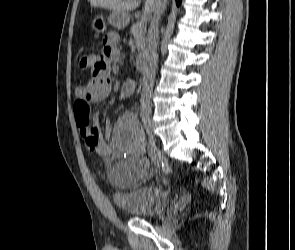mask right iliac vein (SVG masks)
<instances>
[{"mask_svg": "<svg viewBox=\"0 0 295 250\" xmlns=\"http://www.w3.org/2000/svg\"><path fill=\"white\" fill-rule=\"evenodd\" d=\"M144 127L146 131L148 132L150 139L154 142L155 141V135L152 133L153 131V123L148 117L143 118ZM161 157V156H159Z\"/></svg>", "mask_w": 295, "mask_h": 250, "instance_id": "1", "label": "right iliac vein"}]
</instances>
